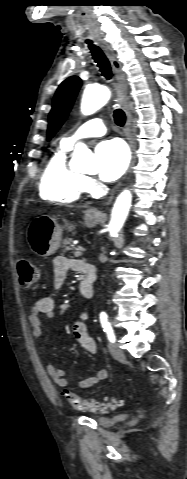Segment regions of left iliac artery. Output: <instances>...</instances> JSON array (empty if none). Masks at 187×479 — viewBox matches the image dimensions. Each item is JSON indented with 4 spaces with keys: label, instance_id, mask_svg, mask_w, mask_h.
Masks as SVG:
<instances>
[{
    "label": "left iliac artery",
    "instance_id": "1",
    "mask_svg": "<svg viewBox=\"0 0 187 479\" xmlns=\"http://www.w3.org/2000/svg\"><path fill=\"white\" fill-rule=\"evenodd\" d=\"M107 318L108 317H107L106 314L100 315V322H101V325H102V328H103L104 332L107 334L108 340L110 342L114 343L115 340H116L115 334H114L112 326H111L110 322H108Z\"/></svg>",
    "mask_w": 187,
    "mask_h": 479
}]
</instances>
